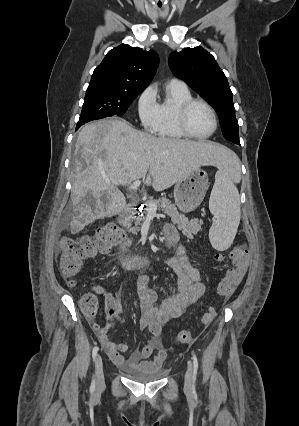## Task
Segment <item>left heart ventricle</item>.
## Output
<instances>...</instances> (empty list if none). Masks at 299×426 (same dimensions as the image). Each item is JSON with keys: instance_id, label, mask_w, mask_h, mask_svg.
<instances>
[{"instance_id": "b2bd125f", "label": "left heart ventricle", "mask_w": 299, "mask_h": 426, "mask_svg": "<svg viewBox=\"0 0 299 426\" xmlns=\"http://www.w3.org/2000/svg\"><path fill=\"white\" fill-rule=\"evenodd\" d=\"M188 126L196 135H207L214 127L210 111L202 104L194 105L188 114Z\"/></svg>"}]
</instances>
